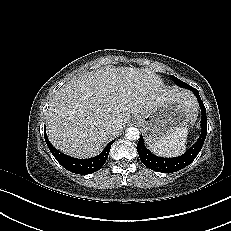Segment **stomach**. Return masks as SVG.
<instances>
[{"label":"stomach","mask_w":231,"mask_h":231,"mask_svg":"<svg viewBox=\"0 0 231 231\" xmlns=\"http://www.w3.org/2000/svg\"><path fill=\"white\" fill-rule=\"evenodd\" d=\"M189 119L188 108L173 101L164 102L152 111L134 116V120L142 127L149 145L187 126Z\"/></svg>","instance_id":"1"}]
</instances>
